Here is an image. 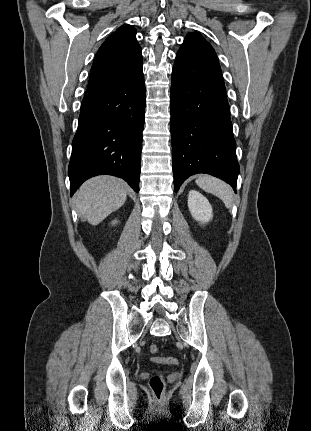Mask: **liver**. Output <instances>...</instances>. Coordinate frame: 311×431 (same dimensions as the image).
I'll return each mask as SVG.
<instances>
[{
  "mask_svg": "<svg viewBox=\"0 0 311 431\" xmlns=\"http://www.w3.org/2000/svg\"><path fill=\"white\" fill-rule=\"evenodd\" d=\"M128 186L119 178L97 176L87 180L75 198V204L83 217L98 225L111 212L119 210L126 202Z\"/></svg>",
  "mask_w": 311,
  "mask_h": 431,
  "instance_id": "liver-1",
  "label": "liver"
}]
</instances>
